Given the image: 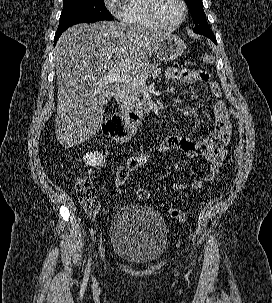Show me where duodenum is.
<instances>
[{"instance_id":"1","label":"duodenum","mask_w":272,"mask_h":303,"mask_svg":"<svg viewBox=\"0 0 272 303\" xmlns=\"http://www.w3.org/2000/svg\"><path fill=\"white\" fill-rule=\"evenodd\" d=\"M117 109L112 113L103 127V132L116 142H126L134 134L140 123L138 111L128 109L124 105V89L121 85L115 86Z\"/></svg>"}]
</instances>
